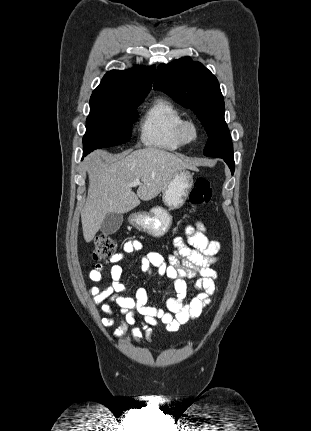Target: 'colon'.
Returning <instances> with one entry per match:
<instances>
[{
  "instance_id": "obj_1",
  "label": "colon",
  "mask_w": 311,
  "mask_h": 431,
  "mask_svg": "<svg viewBox=\"0 0 311 431\" xmlns=\"http://www.w3.org/2000/svg\"><path fill=\"white\" fill-rule=\"evenodd\" d=\"M212 198V188L210 182L205 177H198L194 180L190 192L191 211L196 212L199 208L210 202ZM117 248L115 240L110 235H100L96 239L93 258L104 260L111 257Z\"/></svg>"
}]
</instances>
